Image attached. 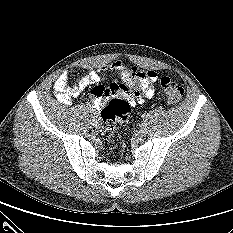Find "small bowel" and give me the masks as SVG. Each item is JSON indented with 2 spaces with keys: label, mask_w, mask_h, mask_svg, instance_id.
Segmentation results:
<instances>
[{
  "label": "small bowel",
  "mask_w": 233,
  "mask_h": 233,
  "mask_svg": "<svg viewBox=\"0 0 233 233\" xmlns=\"http://www.w3.org/2000/svg\"><path fill=\"white\" fill-rule=\"evenodd\" d=\"M130 69L124 62L115 61L108 67H102L100 71H91L81 77L73 86L68 84L70 73L64 71L54 83V93L62 104L69 105L72 99L78 97L85 88L94 85L91 90V105L93 108L99 109L106 99L116 95L126 97L130 106L133 107L154 95L156 74L153 71H146L148 73L147 79L140 84L137 94H134L130 91L132 86V80L129 76ZM109 70L118 72L121 76V82L112 83L108 87L98 85L101 81L100 72Z\"/></svg>",
  "instance_id": "1"
}]
</instances>
